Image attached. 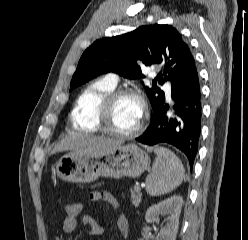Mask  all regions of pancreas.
Instances as JSON below:
<instances>
[{"mask_svg":"<svg viewBox=\"0 0 248 240\" xmlns=\"http://www.w3.org/2000/svg\"><path fill=\"white\" fill-rule=\"evenodd\" d=\"M140 187L135 186L133 190H131V198H132V203L135 206H138L139 203L141 202V193H140Z\"/></svg>","mask_w":248,"mask_h":240,"instance_id":"cf45deb5","label":"pancreas"}]
</instances>
